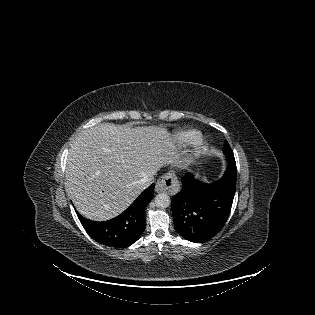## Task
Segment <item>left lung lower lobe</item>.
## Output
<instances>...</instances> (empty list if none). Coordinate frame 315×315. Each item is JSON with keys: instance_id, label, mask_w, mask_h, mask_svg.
<instances>
[{"instance_id": "obj_1", "label": "left lung lower lobe", "mask_w": 315, "mask_h": 315, "mask_svg": "<svg viewBox=\"0 0 315 315\" xmlns=\"http://www.w3.org/2000/svg\"><path fill=\"white\" fill-rule=\"evenodd\" d=\"M236 175V164H229L223 177L211 184L190 173L182 177L183 188L171 203L174 225L182 237L203 243L223 228L234 199Z\"/></svg>"}]
</instances>
